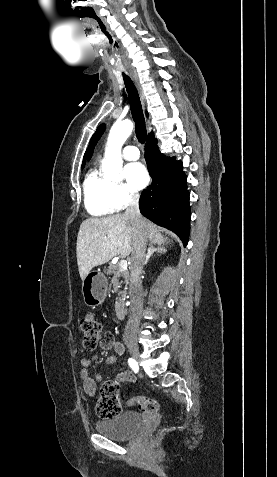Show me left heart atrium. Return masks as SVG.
<instances>
[{
    "mask_svg": "<svg viewBox=\"0 0 277 477\" xmlns=\"http://www.w3.org/2000/svg\"><path fill=\"white\" fill-rule=\"evenodd\" d=\"M125 175L128 185L132 190H140L148 183V173L146 168L141 163H130L125 167Z\"/></svg>",
    "mask_w": 277,
    "mask_h": 477,
    "instance_id": "39dd6f15",
    "label": "left heart atrium"
}]
</instances>
